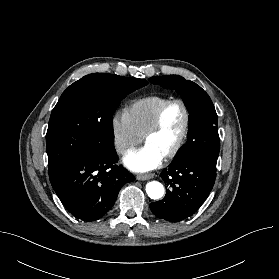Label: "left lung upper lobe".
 <instances>
[{
  "mask_svg": "<svg viewBox=\"0 0 279 279\" xmlns=\"http://www.w3.org/2000/svg\"><path fill=\"white\" fill-rule=\"evenodd\" d=\"M149 81L176 90L189 112L187 142L173 161L193 158L216 167L220 139L217 114L208 94L196 83L179 75L155 76Z\"/></svg>",
  "mask_w": 279,
  "mask_h": 279,
  "instance_id": "left-lung-upper-lobe-1",
  "label": "left lung upper lobe"
}]
</instances>
